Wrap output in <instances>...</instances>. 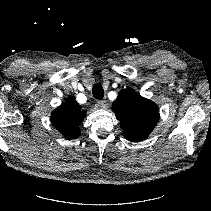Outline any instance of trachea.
I'll use <instances>...</instances> for the list:
<instances>
[{
  "label": "trachea",
  "instance_id": "1",
  "mask_svg": "<svg viewBox=\"0 0 211 211\" xmlns=\"http://www.w3.org/2000/svg\"><path fill=\"white\" fill-rule=\"evenodd\" d=\"M94 98L102 99L104 97V89L101 84H95L92 88Z\"/></svg>",
  "mask_w": 211,
  "mask_h": 211
}]
</instances>
